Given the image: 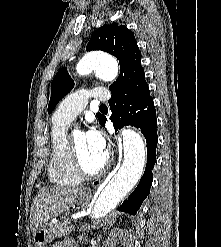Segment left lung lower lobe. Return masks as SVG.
I'll list each match as a JSON object with an SVG mask.
<instances>
[{"label": "left lung lower lobe", "instance_id": "obj_1", "mask_svg": "<svg viewBox=\"0 0 221 247\" xmlns=\"http://www.w3.org/2000/svg\"><path fill=\"white\" fill-rule=\"evenodd\" d=\"M109 105L111 110L110 120L113 122L115 131L123 126L131 125L139 128L146 138L147 165L144 175L134 192L118 207L119 211L135 215L149 194L152 185L153 175L151 170L156 162L158 141L156 111L149 89L126 98L111 95ZM105 122L106 117L103 118L101 124L104 126Z\"/></svg>", "mask_w": 221, "mask_h": 247}]
</instances>
